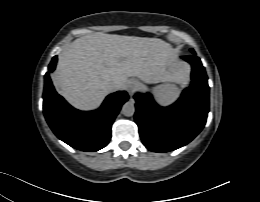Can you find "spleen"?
I'll list each match as a JSON object with an SVG mask.
<instances>
[{"mask_svg":"<svg viewBox=\"0 0 260 202\" xmlns=\"http://www.w3.org/2000/svg\"><path fill=\"white\" fill-rule=\"evenodd\" d=\"M179 90L176 87H172L169 84L159 89L157 93V99L162 105H168L175 101L179 97Z\"/></svg>","mask_w":260,"mask_h":202,"instance_id":"3e777b00","label":"spleen"}]
</instances>
